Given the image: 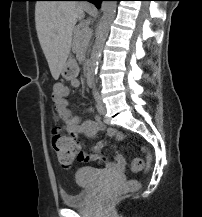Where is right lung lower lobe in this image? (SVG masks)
Segmentation results:
<instances>
[{
  "label": "right lung lower lobe",
  "mask_w": 202,
  "mask_h": 217,
  "mask_svg": "<svg viewBox=\"0 0 202 217\" xmlns=\"http://www.w3.org/2000/svg\"><path fill=\"white\" fill-rule=\"evenodd\" d=\"M67 1H89L91 3L99 5L101 3V1H103V0H67Z\"/></svg>",
  "instance_id": "98d812e1"
}]
</instances>
